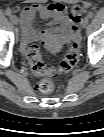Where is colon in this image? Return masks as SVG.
<instances>
[{"instance_id":"colon-1","label":"colon","mask_w":104,"mask_h":137,"mask_svg":"<svg viewBox=\"0 0 104 137\" xmlns=\"http://www.w3.org/2000/svg\"><path fill=\"white\" fill-rule=\"evenodd\" d=\"M26 56L32 71L42 77L38 84L39 90L42 93H50L54 89V78L56 75L58 73L69 72L77 65L79 60V49L78 44L72 42L57 69L47 67L37 44H31L26 48Z\"/></svg>"}]
</instances>
